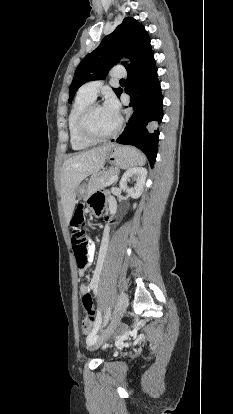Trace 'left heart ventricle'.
I'll return each instance as SVG.
<instances>
[{"label": "left heart ventricle", "instance_id": "left-heart-ventricle-1", "mask_svg": "<svg viewBox=\"0 0 233 414\" xmlns=\"http://www.w3.org/2000/svg\"><path fill=\"white\" fill-rule=\"evenodd\" d=\"M118 117L110 113L104 106L97 107L88 119L90 131L102 136L110 133L116 126Z\"/></svg>", "mask_w": 233, "mask_h": 414}]
</instances>
